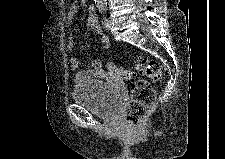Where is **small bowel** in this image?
Wrapping results in <instances>:
<instances>
[{
  "instance_id": "small-bowel-1",
  "label": "small bowel",
  "mask_w": 225,
  "mask_h": 159,
  "mask_svg": "<svg viewBox=\"0 0 225 159\" xmlns=\"http://www.w3.org/2000/svg\"><path fill=\"white\" fill-rule=\"evenodd\" d=\"M78 6L76 4H72L67 12V21L71 22L78 13ZM87 25L88 27L100 35V40L104 49H108L110 47L109 38L102 34L101 28L98 23V19L95 13L93 6H90L88 9L87 15ZM74 48L73 39L71 36L67 38V49L72 52ZM70 67L75 70L73 74V82L75 84H81L83 82L92 80V79H108L110 81H115L112 77L109 76L107 71L105 70L102 61L99 58H95L91 61V68L85 71H76L78 68V60L75 57H71L69 60Z\"/></svg>"
}]
</instances>
